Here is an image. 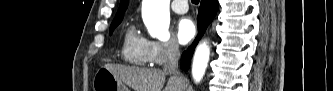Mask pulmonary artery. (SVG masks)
<instances>
[{"label": "pulmonary artery", "mask_w": 333, "mask_h": 91, "mask_svg": "<svg viewBox=\"0 0 333 91\" xmlns=\"http://www.w3.org/2000/svg\"><path fill=\"white\" fill-rule=\"evenodd\" d=\"M172 10L177 14H184L188 11L186 0H175L172 2Z\"/></svg>", "instance_id": "obj_1"}]
</instances>
